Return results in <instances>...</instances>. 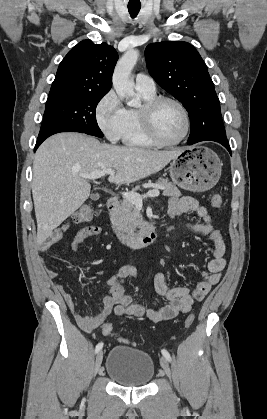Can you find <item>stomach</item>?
<instances>
[{
    "mask_svg": "<svg viewBox=\"0 0 267 419\" xmlns=\"http://www.w3.org/2000/svg\"><path fill=\"white\" fill-rule=\"evenodd\" d=\"M222 163L217 154L204 146L182 149L170 164V176L179 187L204 192L218 182Z\"/></svg>",
    "mask_w": 267,
    "mask_h": 419,
    "instance_id": "obj_1",
    "label": "stomach"
}]
</instances>
